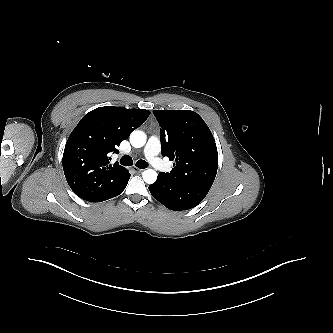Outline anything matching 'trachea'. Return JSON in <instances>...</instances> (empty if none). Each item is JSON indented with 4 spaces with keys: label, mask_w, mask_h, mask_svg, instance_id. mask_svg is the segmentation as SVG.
I'll return each mask as SVG.
<instances>
[{
    "label": "trachea",
    "mask_w": 333,
    "mask_h": 333,
    "mask_svg": "<svg viewBox=\"0 0 333 333\" xmlns=\"http://www.w3.org/2000/svg\"><path fill=\"white\" fill-rule=\"evenodd\" d=\"M120 163H121V165H124V166H132V164H133L132 157L129 155H125L121 158ZM135 165H136V167H138L140 169H145L148 167V163L144 160H138Z\"/></svg>",
    "instance_id": "3493384b"
}]
</instances>
